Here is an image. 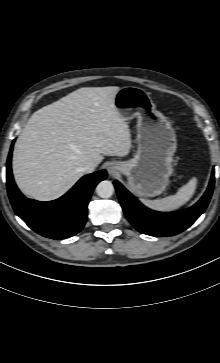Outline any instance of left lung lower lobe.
I'll use <instances>...</instances> for the list:
<instances>
[{
	"instance_id": "obj_1",
	"label": "left lung lower lobe",
	"mask_w": 220,
	"mask_h": 363,
	"mask_svg": "<svg viewBox=\"0 0 220 363\" xmlns=\"http://www.w3.org/2000/svg\"><path fill=\"white\" fill-rule=\"evenodd\" d=\"M214 172L202 198L192 207L178 213H157L144 207L118 181L114 185L124 213L141 233L151 236H173L189 226L205 211L214 187Z\"/></svg>"
}]
</instances>
